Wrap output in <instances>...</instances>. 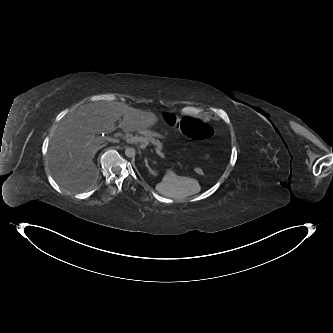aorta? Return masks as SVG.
Listing matches in <instances>:
<instances>
[{"mask_svg":"<svg viewBox=\"0 0 333 333\" xmlns=\"http://www.w3.org/2000/svg\"><path fill=\"white\" fill-rule=\"evenodd\" d=\"M136 154V150L132 147H127L125 149V155L128 157V158H132L134 157Z\"/></svg>","mask_w":333,"mask_h":333,"instance_id":"aorta-1","label":"aorta"}]
</instances>
